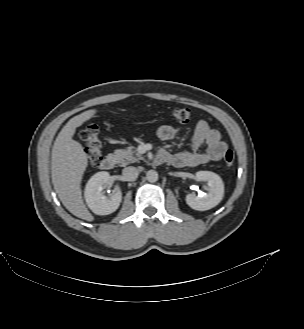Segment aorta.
<instances>
[{
	"instance_id": "762f6f07",
	"label": "aorta",
	"mask_w": 304,
	"mask_h": 329,
	"mask_svg": "<svg viewBox=\"0 0 304 329\" xmlns=\"http://www.w3.org/2000/svg\"><path fill=\"white\" fill-rule=\"evenodd\" d=\"M146 178L149 182L154 183L158 180V173L155 170H149L146 174Z\"/></svg>"
}]
</instances>
